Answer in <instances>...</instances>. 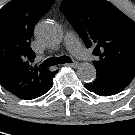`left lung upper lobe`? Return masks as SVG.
I'll list each match as a JSON object with an SVG mask.
<instances>
[{
	"mask_svg": "<svg viewBox=\"0 0 135 135\" xmlns=\"http://www.w3.org/2000/svg\"><path fill=\"white\" fill-rule=\"evenodd\" d=\"M60 8L94 48L97 78L126 88L135 77V22L107 0H63Z\"/></svg>",
	"mask_w": 135,
	"mask_h": 135,
	"instance_id": "5c2ea615",
	"label": "left lung upper lobe"
}]
</instances>
